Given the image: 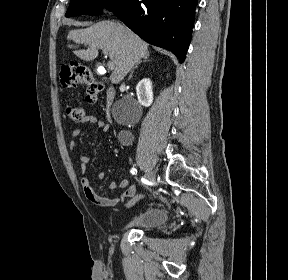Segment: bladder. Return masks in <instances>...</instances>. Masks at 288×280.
Here are the masks:
<instances>
[{
    "label": "bladder",
    "mask_w": 288,
    "mask_h": 280,
    "mask_svg": "<svg viewBox=\"0 0 288 280\" xmlns=\"http://www.w3.org/2000/svg\"><path fill=\"white\" fill-rule=\"evenodd\" d=\"M168 213L162 208H149L133 217L127 224L128 228L147 229L160 226L168 220Z\"/></svg>",
    "instance_id": "31cf9c89"
}]
</instances>
